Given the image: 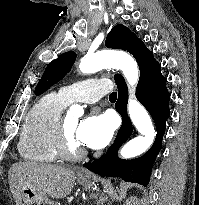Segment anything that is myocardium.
I'll use <instances>...</instances> for the list:
<instances>
[{"label":"myocardium","instance_id":"obj_1","mask_svg":"<svg viewBox=\"0 0 199 205\" xmlns=\"http://www.w3.org/2000/svg\"><path fill=\"white\" fill-rule=\"evenodd\" d=\"M53 144L58 158L64 160H77L82 158L86 153L82 147H75L69 143L64 117H61L59 120Z\"/></svg>","mask_w":199,"mask_h":205}]
</instances>
